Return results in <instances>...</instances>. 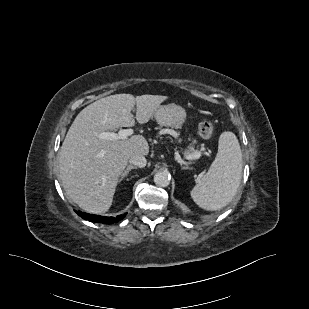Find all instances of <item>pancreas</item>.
Returning a JSON list of instances; mask_svg holds the SVG:
<instances>
[{
  "label": "pancreas",
  "mask_w": 309,
  "mask_h": 309,
  "mask_svg": "<svg viewBox=\"0 0 309 309\" xmlns=\"http://www.w3.org/2000/svg\"><path fill=\"white\" fill-rule=\"evenodd\" d=\"M195 143V141H193L190 146H188V148L184 151V155L185 156H189V155H192L194 154L195 152H199L197 150H195L193 144Z\"/></svg>",
  "instance_id": "obj_1"
}]
</instances>
